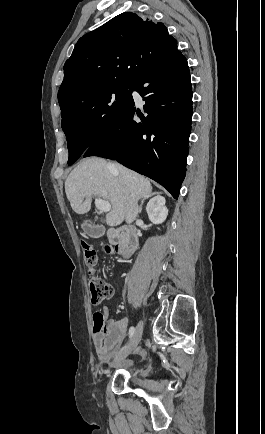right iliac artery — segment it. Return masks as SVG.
Listing matches in <instances>:
<instances>
[{
  "mask_svg": "<svg viewBox=\"0 0 265 434\" xmlns=\"http://www.w3.org/2000/svg\"><path fill=\"white\" fill-rule=\"evenodd\" d=\"M134 332H135V328L132 326V327H130V329H129V337L130 338H132V336L134 335ZM124 348V347H123Z\"/></svg>",
  "mask_w": 265,
  "mask_h": 434,
  "instance_id": "1",
  "label": "right iliac artery"
}]
</instances>
